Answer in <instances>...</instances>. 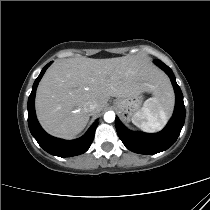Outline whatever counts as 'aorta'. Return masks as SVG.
Segmentation results:
<instances>
[{
	"label": "aorta",
	"instance_id": "1",
	"mask_svg": "<svg viewBox=\"0 0 210 210\" xmlns=\"http://www.w3.org/2000/svg\"><path fill=\"white\" fill-rule=\"evenodd\" d=\"M104 120L107 123H111L115 120V113L113 111H108L104 114Z\"/></svg>",
	"mask_w": 210,
	"mask_h": 210
}]
</instances>
